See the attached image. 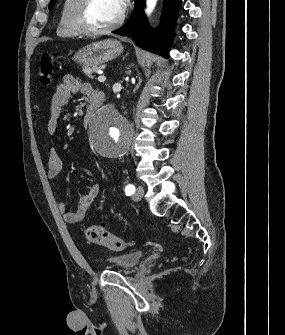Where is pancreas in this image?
Segmentation results:
<instances>
[{"mask_svg":"<svg viewBox=\"0 0 285 335\" xmlns=\"http://www.w3.org/2000/svg\"><path fill=\"white\" fill-rule=\"evenodd\" d=\"M105 66H91V68H89V66H83V72H85V74H87V79L88 81H95L96 76L95 73L96 70H104Z\"/></svg>","mask_w":285,"mask_h":335,"instance_id":"cf45deb5","label":"pancreas"}]
</instances>
